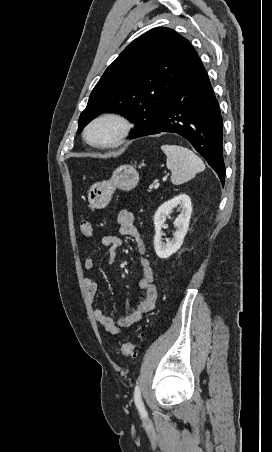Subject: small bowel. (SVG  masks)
<instances>
[{
  "label": "small bowel",
  "instance_id": "small-bowel-1",
  "mask_svg": "<svg viewBox=\"0 0 272 452\" xmlns=\"http://www.w3.org/2000/svg\"><path fill=\"white\" fill-rule=\"evenodd\" d=\"M134 214L128 210H121L118 213L117 222L119 225V233L123 236H130L134 239L135 247L140 255L139 263L141 266V276L138 280V287L144 292V298L138 304L130 309L123 317L119 319L112 318L104 309L97 308L94 316L98 323L105 331L111 334L121 333L123 330L132 327L147 312L153 310L156 306L158 291L153 284V270L149 260L144 256L146 252L145 243L140 236L135 224ZM122 241L118 236L107 235L101 240V245L107 250V261L113 263L117 256L118 248ZM94 266V259L87 257L83 261V268L90 270ZM84 285L86 288L89 301L94 304L96 296L99 292L98 283L92 278H85Z\"/></svg>",
  "mask_w": 272,
  "mask_h": 452
}]
</instances>
